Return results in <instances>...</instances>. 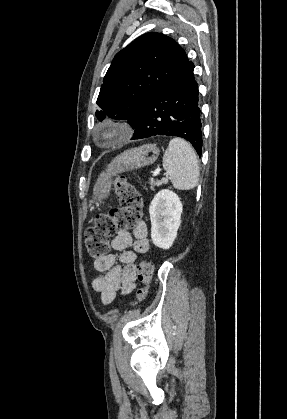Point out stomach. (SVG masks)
Wrapping results in <instances>:
<instances>
[{
	"label": "stomach",
	"instance_id": "0dacf381",
	"mask_svg": "<svg viewBox=\"0 0 287 419\" xmlns=\"http://www.w3.org/2000/svg\"><path fill=\"white\" fill-rule=\"evenodd\" d=\"M159 152L160 150L156 144H145L118 155L98 176L93 188L94 200L101 202L108 197L112 179L115 176L154 163L158 158Z\"/></svg>",
	"mask_w": 287,
	"mask_h": 419
}]
</instances>
